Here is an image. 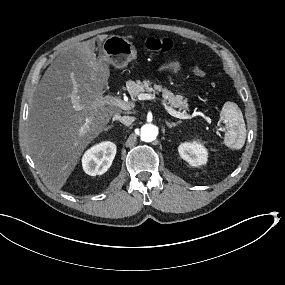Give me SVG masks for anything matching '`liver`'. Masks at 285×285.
Returning <instances> with one entry per match:
<instances>
[{"mask_svg": "<svg viewBox=\"0 0 285 285\" xmlns=\"http://www.w3.org/2000/svg\"><path fill=\"white\" fill-rule=\"evenodd\" d=\"M95 41L75 43L51 63L30 108L27 147L35 166L55 189L63 187L83 151L112 116L122 112L98 100L103 98L110 71L102 63L108 61L106 57L96 58ZM87 117L92 121L82 132Z\"/></svg>", "mask_w": 285, "mask_h": 285, "instance_id": "6515ba94", "label": "liver"}]
</instances>
